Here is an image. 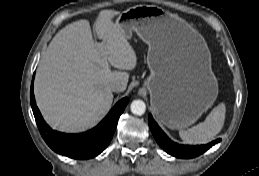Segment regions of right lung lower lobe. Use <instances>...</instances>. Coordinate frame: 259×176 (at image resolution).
<instances>
[{"label": "right lung lower lobe", "mask_w": 259, "mask_h": 176, "mask_svg": "<svg viewBox=\"0 0 259 176\" xmlns=\"http://www.w3.org/2000/svg\"><path fill=\"white\" fill-rule=\"evenodd\" d=\"M30 100L38 129L45 142L55 152L74 159L93 158L108 146L115 132L118 119L129 102L128 98L121 99L104 120L88 132L82 134H64L52 130L43 120L36 106L33 82L31 84Z\"/></svg>", "instance_id": "obj_1"}]
</instances>
